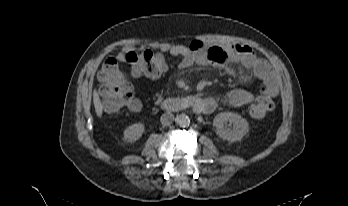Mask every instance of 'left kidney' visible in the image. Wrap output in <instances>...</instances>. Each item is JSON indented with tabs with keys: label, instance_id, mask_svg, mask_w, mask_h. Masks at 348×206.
<instances>
[{
	"label": "left kidney",
	"instance_id": "5707ae66",
	"mask_svg": "<svg viewBox=\"0 0 348 206\" xmlns=\"http://www.w3.org/2000/svg\"><path fill=\"white\" fill-rule=\"evenodd\" d=\"M228 122L229 124H227ZM213 125L216 128V134L230 143L240 141L249 131L247 120L232 112L218 114L213 121Z\"/></svg>",
	"mask_w": 348,
	"mask_h": 206
}]
</instances>
